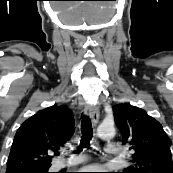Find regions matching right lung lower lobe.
Instances as JSON below:
<instances>
[{
	"instance_id": "obj_1",
	"label": "right lung lower lobe",
	"mask_w": 173,
	"mask_h": 173,
	"mask_svg": "<svg viewBox=\"0 0 173 173\" xmlns=\"http://www.w3.org/2000/svg\"><path fill=\"white\" fill-rule=\"evenodd\" d=\"M27 173H40V172H36V171H30V172H27Z\"/></svg>"
}]
</instances>
